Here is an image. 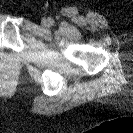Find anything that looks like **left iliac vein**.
I'll use <instances>...</instances> for the list:
<instances>
[{
	"label": "left iliac vein",
	"mask_w": 133,
	"mask_h": 133,
	"mask_svg": "<svg viewBox=\"0 0 133 133\" xmlns=\"http://www.w3.org/2000/svg\"><path fill=\"white\" fill-rule=\"evenodd\" d=\"M42 24L44 25V26H49L50 25V22H49V19H43L42 20Z\"/></svg>",
	"instance_id": "4c4485c4"
}]
</instances>
